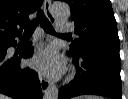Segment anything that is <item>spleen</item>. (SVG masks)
I'll list each match as a JSON object with an SVG mask.
<instances>
[{"label": "spleen", "instance_id": "obj_1", "mask_svg": "<svg viewBox=\"0 0 128 99\" xmlns=\"http://www.w3.org/2000/svg\"><path fill=\"white\" fill-rule=\"evenodd\" d=\"M85 99H99L98 97H93V96H87Z\"/></svg>", "mask_w": 128, "mask_h": 99}]
</instances>
